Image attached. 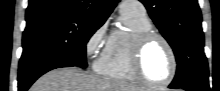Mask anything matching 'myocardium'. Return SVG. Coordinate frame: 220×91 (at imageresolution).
<instances>
[{"instance_id": "obj_1", "label": "myocardium", "mask_w": 220, "mask_h": 91, "mask_svg": "<svg viewBox=\"0 0 220 91\" xmlns=\"http://www.w3.org/2000/svg\"><path fill=\"white\" fill-rule=\"evenodd\" d=\"M156 40L164 44L171 58V71L167 79L163 82H154L149 80L146 77L142 66L143 54L146 47L151 42ZM131 66L135 76L143 85L154 88L166 87L173 81V79L176 76L178 66L177 56L173 46L163 35L150 31L147 33L140 34L134 39L131 47Z\"/></svg>"}]
</instances>
